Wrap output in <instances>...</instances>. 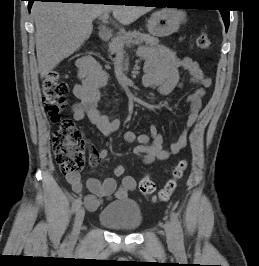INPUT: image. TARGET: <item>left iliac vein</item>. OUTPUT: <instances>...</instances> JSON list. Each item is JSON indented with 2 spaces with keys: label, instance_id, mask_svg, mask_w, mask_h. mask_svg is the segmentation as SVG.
I'll list each match as a JSON object with an SVG mask.
<instances>
[{
  "label": "left iliac vein",
  "instance_id": "4c4485c4",
  "mask_svg": "<svg viewBox=\"0 0 259 266\" xmlns=\"http://www.w3.org/2000/svg\"><path fill=\"white\" fill-rule=\"evenodd\" d=\"M164 229L166 232L167 243L170 246H175L177 244V238L173 224L171 222H166Z\"/></svg>",
  "mask_w": 259,
  "mask_h": 266
}]
</instances>
